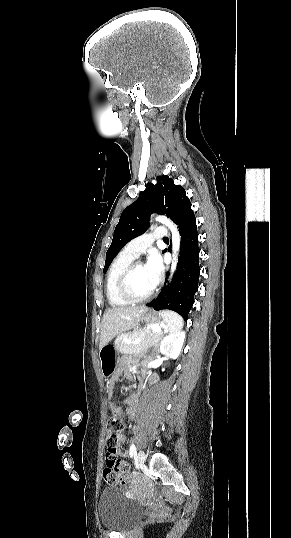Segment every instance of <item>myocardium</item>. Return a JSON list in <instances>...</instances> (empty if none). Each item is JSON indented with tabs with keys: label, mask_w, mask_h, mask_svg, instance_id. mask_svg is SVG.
<instances>
[{
	"label": "myocardium",
	"mask_w": 291,
	"mask_h": 538,
	"mask_svg": "<svg viewBox=\"0 0 291 538\" xmlns=\"http://www.w3.org/2000/svg\"><path fill=\"white\" fill-rule=\"evenodd\" d=\"M138 265H140L139 262H132L124 270V272L121 274L118 280V291H119L120 296L130 303H138V302H143L150 299L154 295L157 288V286L155 285L147 294L142 295V296L136 295L133 292L131 280H132L133 273Z\"/></svg>",
	"instance_id": "f54148a6"
}]
</instances>
